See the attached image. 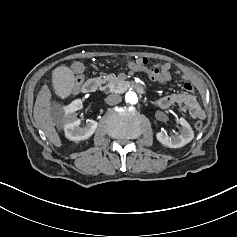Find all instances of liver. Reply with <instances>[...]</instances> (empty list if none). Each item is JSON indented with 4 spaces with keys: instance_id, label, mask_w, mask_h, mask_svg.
<instances>
[{
    "instance_id": "6515ba94",
    "label": "liver",
    "mask_w": 237,
    "mask_h": 237,
    "mask_svg": "<svg viewBox=\"0 0 237 237\" xmlns=\"http://www.w3.org/2000/svg\"><path fill=\"white\" fill-rule=\"evenodd\" d=\"M40 98L37 99L35 104V110H34V117L36 119V124L39 128H41L45 136L49 139L51 143H53L56 147H61V140L58 136V133L56 132L55 128L52 125H49L46 121V113L41 109L43 107V103L41 105H38ZM40 107V110L37 111V108Z\"/></svg>"
}]
</instances>
